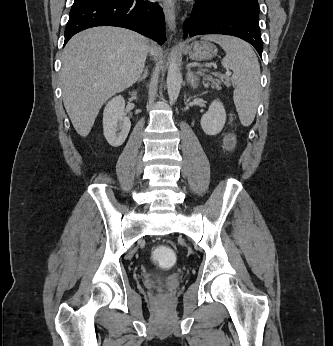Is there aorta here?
Masks as SVG:
<instances>
[{
    "instance_id": "aorta-1",
    "label": "aorta",
    "mask_w": 333,
    "mask_h": 346,
    "mask_svg": "<svg viewBox=\"0 0 333 346\" xmlns=\"http://www.w3.org/2000/svg\"><path fill=\"white\" fill-rule=\"evenodd\" d=\"M182 83V76L178 63L173 57L169 64L168 74H167V91L171 103H174L180 93Z\"/></svg>"
}]
</instances>
